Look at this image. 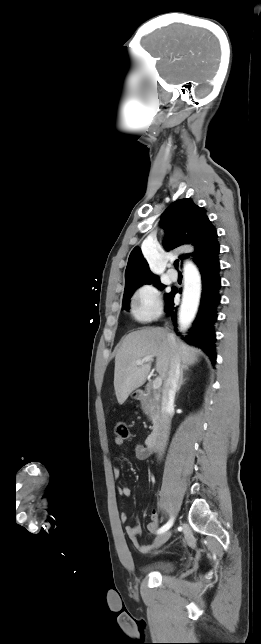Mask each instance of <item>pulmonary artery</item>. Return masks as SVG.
<instances>
[{"label":"pulmonary artery","instance_id":"obj_1","mask_svg":"<svg viewBox=\"0 0 261 644\" xmlns=\"http://www.w3.org/2000/svg\"><path fill=\"white\" fill-rule=\"evenodd\" d=\"M168 276L171 280L176 281L178 278V274L174 269H169L168 270Z\"/></svg>","mask_w":261,"mask_h":644}]
</instances>
